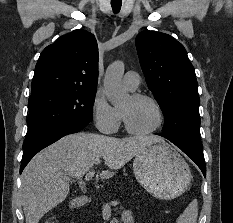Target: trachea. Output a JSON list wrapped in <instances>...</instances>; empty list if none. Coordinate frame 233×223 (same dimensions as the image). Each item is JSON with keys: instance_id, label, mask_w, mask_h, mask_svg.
<instances>
[{"instance_id": "trachea-1", "label": "trachea", "mask_w": 233, "mask_h": 223, "mask_svg": "<svg viewBox=\"0 0 233 223\" xmlns=\"http://www.w3.org/2000/svg\"><path fill=\"white\" fill-rule=\"evenodd\" d=\"M112 9L115 13L119 12L121 8V3H111Z\"/></svg>"}]
</instances>
